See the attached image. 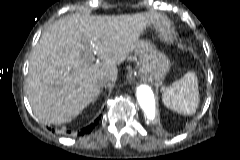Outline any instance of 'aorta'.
Here are the masks:
<instances>
[{
    "label": "aorta",
    "instance_id": "obj_1",
    "mask_svg": "<svg viewBox=\"0 0 240 160\" xmlns=\"http://www.w3.org/2000/svg\"><path fill=\"white\" fill-rule=\"evenodd\" d=\"M136 97L146 122L151 123L156 116V101L153 91L147 85H140L137 87Z\"/></svg>",
    "mask_w": 240,
    "mask_h": 160
}]
</instances>
